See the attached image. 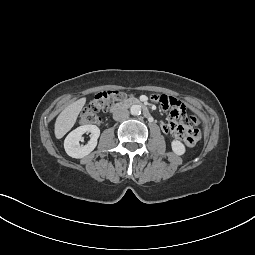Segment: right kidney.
I'll list each match as a JSON object with an SVG mask.
<instances>
[{"instance_id":"1","label":"right kidney","mask_w":255,"mask_h":255,"mask_svg":"<svg viewBox=\"0 0 255 255\" xmlns=\"http://www.w3.org/2000/svg\"><path fill=\"white\" fill-rule=\"evenodd\" d=\"M91 133L90 141L86 145H80L84 133ZM100 129L96 125H83L70 132L64 140V149L72 158H83L90 154L97 145Z\"/></svg>"}]
</instances>
